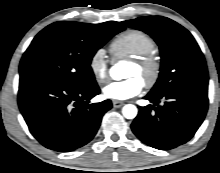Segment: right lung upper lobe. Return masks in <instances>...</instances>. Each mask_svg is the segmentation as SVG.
Here are the masks:
<instances>
[{"mask_svg":"<svg viewBox=\"0 0 220 173\" xmlns=\"http://www.w3.org/2000/svg\"><path fill=\"white\" fill-rule=\"evenodd\" d=\"M116 24L120 29H122V31L125 29V27L121 23L116 22Z\"/></svg>","mask_w":220,"mask_h":173,"instance_id":"obj_1","label":"right lung upper lobe"}]
</instances>
